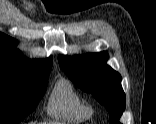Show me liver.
Listing matches in <instances>:
<instances>
[{"mask_svg":"<svg viewBox=\"0 0 156 124\" xmlns=\"http://www.w3.org/2000/svg\"><path fill=\"white\" fill-rule=\"evenodd\" d=\"M35 124V123H34ZM43 124H46V123H43ZM47 124H59V123H54V122H49Z\"/></svg>","mask_w":156,"mask_h":124,"instance_id":"6515ba94","label":"liver"}]
</instances>
